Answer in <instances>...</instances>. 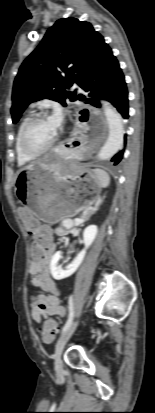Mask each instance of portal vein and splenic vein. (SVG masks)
<instances>
[{
  "label": "portal vein and splenic vein",
  "mask_w": 155,
  "mask_h": 413,
  "mask_svg": "<svg viewBox=\"0 0 155 413\" xmlns=\"http://www.w3.org/2000/svg\"><path fill=\"white\" fill-rule=\"evenodd\" d=\"M76 222L81 223V222H82V220H76ZM68 225H69V227H71V226L73 225V222H72V221H68Z\"/></svg>",
  "instance_id": "1"
}]
</instances>
